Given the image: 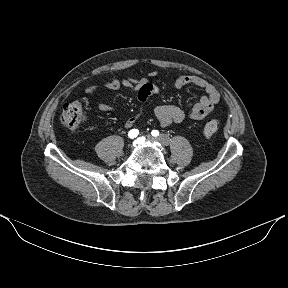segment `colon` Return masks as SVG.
Masks as SVG:
<instances>
[{
	"instance_id": "5ec220e1",
	"label": "colon",
	"mask_w": 288,
	"mask_h": 288,
	"mask_svg": "<svg viewBox=\"0 0 288 288\" xmlns=\"http://www.w3.org/2000/svg\"><path fill=\"white\" fill-rule=\"evenodd\" d=\"M85 108L86 103L83 101H74L65 104L61 113L62 124L69 129L77 128L86 118ZM218 128L219 122L212 119L205 124L203 133L206 137H210L217 132Z\"/></svg>"
}]
</instances>
